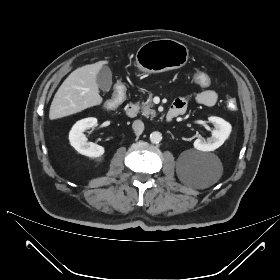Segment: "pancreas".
Returning a JSON list of instances; mask_svg holds the SVG:
<instances>
[{
  "label": "pancreas",
  "instance_id": "cf45deb5",
  "mask_svg": "<svg viewBox=\"0 0 280 280\" xmlns=\"http://www.w3.org/2000/svg\"><path fill=\"white\" fill-rule=\"evenodd\" d=\"M154 104L152 102V94H149L147 101L142 102L141 104V113L143 116L153 118L156 116V111L153 109Z\"/></svg>",
  "mask_w": 280,
  "mask_h": 280
}]
</instances>
